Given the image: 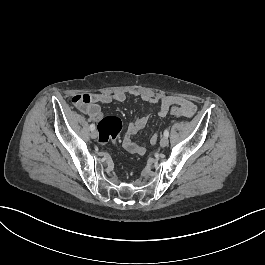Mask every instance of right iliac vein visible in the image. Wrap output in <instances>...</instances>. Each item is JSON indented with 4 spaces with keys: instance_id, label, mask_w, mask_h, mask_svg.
I'll return each mask as SVG.
<instances>
[{
    "instance_id": "right-iliac-vein-1",
    "label": "right iliac vein",
    "mask_w": 265,
    "mask_h": 265,
    "mask_svg": "<svg viewBox=\"0 0 265 265\" xmlns=\"http://www.w3.org/2000/svg\"><path fill=\"white\" fill-rule=\"evenodd\" d=\"M98 137V132L96 131V130H93L92 132H91V138L92 139H96Z\"/></svg>"
}]
</instances>
